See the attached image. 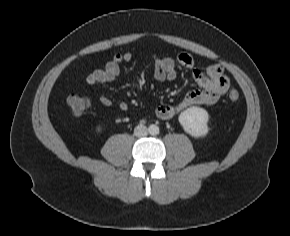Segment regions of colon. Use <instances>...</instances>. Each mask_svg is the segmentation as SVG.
I'll return each instance as SVG.
<instances>
[{
	"mask_svg": "<svg viewBox=\"0 0 290 236\" xmlns=\"http://www.w3.org/2000/svg\"><path fill=\"white\" fill-rule=\"evenodd\" d=\"M228 98L232 102H237L240 99V93L237 90H231ZM67 104L74 115H81L90 107V100L84 96L70 95L67 98Z\"/></svg>",
	"mask_w": 290,
	"mask_h": 236,
	"instance_id": "colon-1",
	"label": "colon"
}]
</instances>
